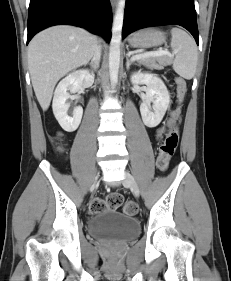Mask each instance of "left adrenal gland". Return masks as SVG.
Here are the masks:
<instances>
[{
  "instance_id": "1",
  "label": "left adrenal gland",
  "mask_w": 231,
  "mask_h": 281,
  "mask_svg": "<svg viewBox=\"0 0 231 281\" xmlns=\"http://www.w3.org/2000/svg\"><path fill=\"white\" fill-rule=\"evenodd\" d=\"M132 62L129 60V57L126 55V69H129Z\"/></svg>"
}]
</instances>
